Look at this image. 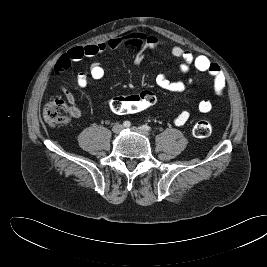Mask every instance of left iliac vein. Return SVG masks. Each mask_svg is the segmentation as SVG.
I'll use <instances>...</instances> for the list:
<instances>
[{"instance_id": "obj_1", "label": "left iliac vein", "mask_w": 267, "mask_h": 267, "mask_svg": "<svg viewBox=\"0 0 267 267\" xmlns=\"http://www.w3.org/2000/svg\"><path fill=\"white\" fill-rule=\"evenodd\" d=\"M131 131L139 133V134L144 135V136H149V132L142 130L140 128H137V127H132Z\"/></svg>"}]
</instances>
